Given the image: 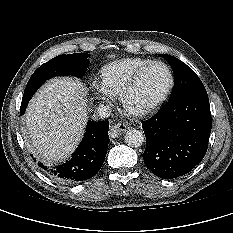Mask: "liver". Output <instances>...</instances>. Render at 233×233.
<instances>
[{
    "label": "liver",
    "instance_id": "1",
    "mask_svg": "<svg viewBox=\"0 0 233 233\" xmlns=\"http://www.w3.org/2000/svg\"><path fill=\"white\" fill-rule=\"evenodd\" d=\"M87 110L83 83L72 78L47 82L32 98L25 116L36 157L47 165L68 158L85 131Z\"/></svg>",
    "mask_w": 233,
    "mask_h": 233
}]
</instances>
